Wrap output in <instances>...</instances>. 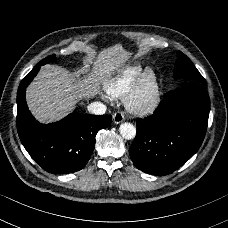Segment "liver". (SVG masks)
<instances>
[{
	"instance_id": "6515ba94",
	"label": "liver",
	"mask_w": 228,
	"mask_h": 228,
	"mask_svg": "<svg viewBox=\"0 0 228 228\" xmlns=\"http://www.w3.org/2000/svg\"><path fill=\"white\" fill-rule=\"evenodd\" d=\"M127 52L122 46L101 54L96 70L74 77L61 67L45 66L28 89V102L34 114L42 121L59 118L73 108L75 100L98 90L100 83L109 78Z\"/></svg>"
}]
</instances>
